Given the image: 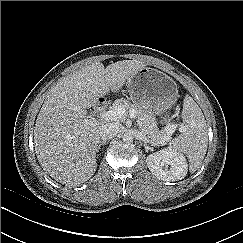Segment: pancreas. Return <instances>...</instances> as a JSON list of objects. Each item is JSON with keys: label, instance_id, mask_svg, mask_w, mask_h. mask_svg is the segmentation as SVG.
<instances>
[{"label": "pancreas", "instance_id": "obj_1", "mask_svg": "<svg viewBox=\"0 0 243 243\" xmlns=\"http://www.w3.org/2000/svg\"><path fill=\"white\" fill-rule=\"evenodd\" d=\"M122 105L124 106L126 112L130 109L134 108L137 112V118L141 122L142 131L146 134V137L155 144H162L165 140L166 136L171 135L172 129L166 128L163 130H159L157 126V122L153 115L149 113L147 110H144L141 107L132 104L126 99H118L113 103V107Z\"/></svg>", "mask_w": 243, "mask_h": 243}]
</instances>
